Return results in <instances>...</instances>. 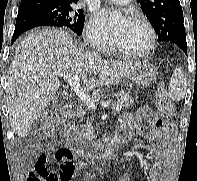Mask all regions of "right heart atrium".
I'll return each instance as SVG.
<instances>
[{
	"mask_svg": "<svg viewBox=\"0 0 197 181\" xmlns=\"http://www.w3.org/2000/svg\"><path fill=\"white\" fill-rule=\"evenodd\" d=\"M84 36L88 45L96 51L104 52L111 46L110 35L94 17L87 22Z\"/></svg>",
	"mask_w": 197,
	"mask_h": 181,
	"instance_id": "obj_1",
	"label": "right heart atrium"
}]
</instances>
